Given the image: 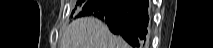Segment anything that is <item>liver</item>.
<instances>
[{
	"label": "liver",
	"instance_id": "1",
	"mask_svg": "<svg viewBox=\"0 0 213 48\" xmlns=\"http://www.w3.org/2000/svg\"><path fill=\"white\" fill-rule=\"evenodd\" d=\"M60 48H129L107 25L94 17L73 20L63 31Z\"/></svg>",
	"mask_w": 213,
	"mask_h": 48
}]
</instances>
